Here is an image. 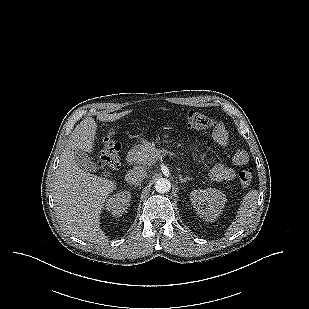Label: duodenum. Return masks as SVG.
I'll return each mask as SVG.
<instances>
[{
    "instance_id": "410a0bca",
    "label": "duodenum",
    "mask_w": 309,
    "mask_h": 309,
    "mask_svg": "<svg viewBox=\"0 0 309 309\" xmlns=\"http://www.w3.org/2000/svg\"><path fill=\"white\" fill-rule=\"evenodd\" d=\"M137 158V151L136 149H130L126 154V162L128 164L133 163Z\"/></svg>"
}]
</instances>
